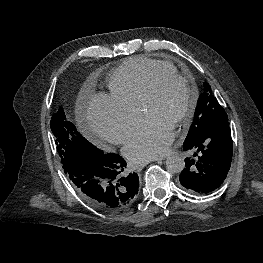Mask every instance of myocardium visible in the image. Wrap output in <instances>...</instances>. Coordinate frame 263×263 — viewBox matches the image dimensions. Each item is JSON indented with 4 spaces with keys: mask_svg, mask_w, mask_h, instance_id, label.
<instances>
[{
    "mask_svg": "<svg viewBox=\"0 0 263 263\" xmlns=\"http://www.w3.org/2000/svg\"><path fill=\"white\" fill-rule=\"evenodd\" d=\"M167 79H176L181 81L187 88L189 92V104L185 112L180 116L176 122L175 129L181 130L185 127L192 119L199 99L198 90L192 84L190 79L185 75L180 74L177 71H158L154 74L147 87L145 88L143 95L140 100L139 108L141 111L145 110L146 105L154 98L156 95L160 84Z\"/></svg>",
    "mask_w": 263,
    "mask_h": 263,
    "instance_id": "1",
    "label": "myocardium"
}]
</instances>
